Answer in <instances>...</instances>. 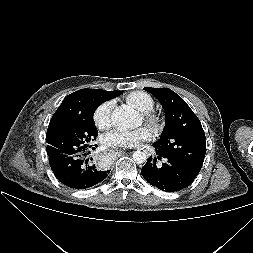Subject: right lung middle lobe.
<instances>
[{
    "label": "right lung middle lobe",
    "mask_w": 253,
    "mask_h": 253,
    "mask_svg": "<svg viewBox=\"0 0 253 253\" xmlns=\"http://www.w3.org/2000/svg\"><path fill=\"white\" fill-rule=\"evenodd\" d=\"M103 102L101 96L95 93L89 94L84 100L81 111L57 122L50 131H47L49 158H63L88 150L89 143L98 135L93 114Z\"/></svg>",
    "instance_id": "right-lung-middle-lobe-1"
}]
</instances>
